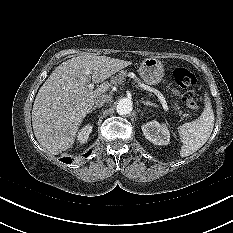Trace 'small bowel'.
Returning <instances> with one entry per match:
<instances>
[{
    "label": "small bowel",
    "mask_w": 233,
    "mask_h": 233,
    "mask_svg": "<svg viewBox=\"0 0 233 233\" xmlns=\"http://www.w3.org/2000/svg\"><path fill=\"white\" fill-rule=\"evenodd\" d=\"M174 94H175L176 96H179V93H178L177 91H174Z\"/></svg>",
    "instance_id": "obj_1"
}]
</instances>
